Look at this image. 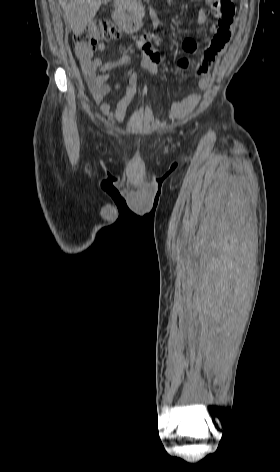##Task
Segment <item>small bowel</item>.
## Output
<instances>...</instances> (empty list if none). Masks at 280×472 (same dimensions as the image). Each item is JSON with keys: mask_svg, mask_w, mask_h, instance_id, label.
<instances>
[{"mask_svg": "<svg viewBox=\"0 0 280 472\" xmlns=\"http://www.w3.org/2000/svg\"><path fill=\"white\" fill-rule=\"evenodd\" d=\"M195 1V0H193ZM207 4L212 5L213 0H205ZM198 22L201 25L208 23V13L202 9L198 13ZM232 22L229 25H216L212 28L210 36H205L199 41L188 38L182 43V50L185 55L183 59L188 61V57L195 55L200 49L202 50V58L198 63L195 73L198 76L197 87L200 90H207L210 84L208 70L232 35ZM148 41L155 39V36L148 34L145 36ZM99 50L104 49V45L98 46ZM143 53L139 59L141 67L150 74L159 72L160 56L158 51L151 46V42L142 44ZM76 55L80 61L82 74L87 87L92 94L94 100L100 105L101 111L114 120H121L126 112L127 106L133 99L139 80V73L133 72L128 83L123 87L124 96L117 104L115 110L111 109L107 96L112 91V86L108 84L110 79L109 71L125 66L130 61V56L124 54L117 59L103 62L101 59L93 57V50L87 46L76 44ZM116 85L115 88H119ZM201 96L198 94H190L178 101H175L171 107V115L175 119H182L190 114L199 104Z\"/></svg>", "mask_w": 280, "mask_h": 472, "instance_id": "small-bowel-1", "label": "small bowel"}]
</instances>
